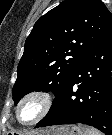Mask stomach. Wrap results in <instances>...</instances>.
Segmentation results:
<instances>
[{
	"instance_id": "obj_1",
	"label": "stomach",
	"mask_w": 112,
	"mask_h": 135,
	"mask_svg": "<svg viewBox=\"0 0 112 135\" xmlns=\"http://www.w3.org/2000/svg\"><path fill=\"white\" fill-rule=\"evenodd\" d=\"M9 134H16L14 132H9ZM19 134V133H18ZM21 135V134H19ZM26 135H84L81 128L75 125H64L53 127L44 132H31Z\"/></svg>"
}]
</instances>
